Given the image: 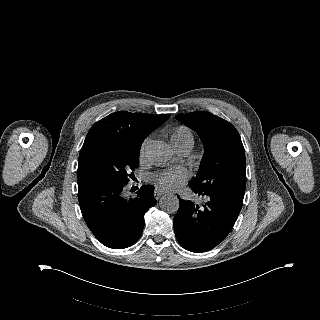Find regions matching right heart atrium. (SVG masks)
<instances>
[{
	"label": "right heart atrium",
	"mask_w": 320,
	"mask_h": 320,
	"mask_svg": "<svg viewBox=\"0 0 320 320\" xmlns=\"http://www.w3.org/2000/svg\"><path fill=\"white\" fill-rule=\"evenodd\" d=\"M148 144V139H145L140 148V155L143 156L145 153L146 145Z\"/></svg>",
	"instance_id": "obj_1"
}]
</instances>
